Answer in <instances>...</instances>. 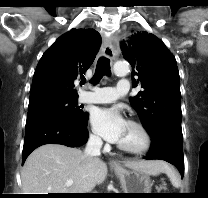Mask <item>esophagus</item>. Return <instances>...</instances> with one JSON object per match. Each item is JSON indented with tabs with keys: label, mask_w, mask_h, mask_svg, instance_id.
I'll use <instances>...</instances> for the list:
<instances>
[{
	"label": "esophagus",
	"mask_w": 208,
	"mask_h": 198,
	"mask_svg": "<svg viewBox=\"0 0 208 198\" xmlns=\"http://www.w3.org/2000/svg\"><path fill=\"white\" fill-rule=\"evenodd\" d=\"M103 53L108 58H113L114 57L113 46H112V43L110 41H106L104 43ZM111 165L117 166L118 164H117L116 161H111Z\"/></svg>",
	"instance_id": "34e87169"
}]
</instances>
